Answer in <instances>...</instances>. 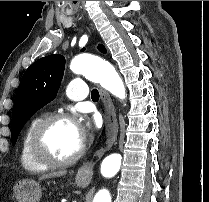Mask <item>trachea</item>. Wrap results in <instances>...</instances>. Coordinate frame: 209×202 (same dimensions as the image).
I'll return each instance as SVG.
<instances>
[{
    "instance_id": "3493384b",
    "label": "trachea",
    "mask_w": 209,
    "mask_h": 202,
    "mask_svg": "<svg viewBox=\"0 0 209 202\" xmlns=\"http://www.w3.org/2000/svg\"><path fill=\"white\" fill-rule=\"evenodd\" d=\"M91 99L94 101V102H97L99 100V92L97 89H93L92 92H91Z\"/></svg>"
}]
</instances>
